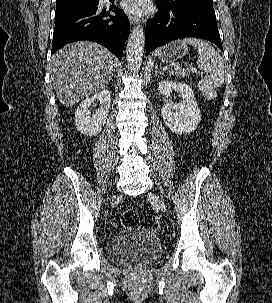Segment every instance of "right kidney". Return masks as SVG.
<instances>
[{"label":"right kidney","instance_id":"right-kidney-1","mask_svg":"<svg viewBox=\"0 0 272 303\" xmlns=\"http://www.w3.org/2000/svg\"><path fill=\"white\" fill-rule=\"evenodd\" d=\"M95 101L100 102V107L94 115H91L89 107ZM111 103V93L108 90H103L95 93L91 97L83 100L76 109L75 123L76 128L82 134L95 136L101 132L104 127Z\"/></svg>","mask_w":272,"mask_h":303}]
</instances>
